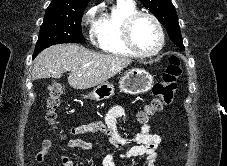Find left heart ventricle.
<instances>
[{
    "mask_svg": "<svg viewBox=\"0 0 227 166\" xmlns=\"http://www.w3.org/2000/svg\"><path fill=\"white\" fill-rule=\"evenodd\" d=\"M135 44L143 51L149 52L156 48L159 40L154 23L147 17H141L133 26Z\"/></svg>",
    "mask_w": 227,
    "mask_h": 166,
    "instance_id": "left-heart-ventricle-1",
    "label": "left heart ventricle"
}]
</instances>
